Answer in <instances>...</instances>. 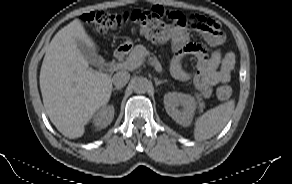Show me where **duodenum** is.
Returning <instances> with one entry per match:
<instances>
[{"label":"duodenum","instance_id":"obj_1","mask_svg":"<svg viewBox=\"0 0 292 184\" xmlns=\"http://www.w3.org/2000/svg\"><path fill=\"white\" fill-rule=\"evenodd\" d=\"M128 53V48L126 47H120L117 50H115L113 56L116 60H123Z\"/></svg>","mask_w":292,"mask_h":184}]
</instances>
